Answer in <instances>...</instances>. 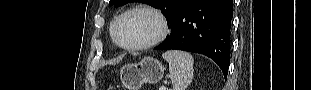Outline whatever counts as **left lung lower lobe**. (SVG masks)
I'll return each instance as SVG.
<instances>
[{"label": "left lung lower lobe", "instance_id": "left-lung-lower-lobe-1", "mask_svg": "<svg viewBox=\"0 0 311 90\" xmlns=\"http://www.w3.org/2000/svg\"><path fill=\"white\" fill-rule=\"evenodd\" d=\"M233 0H194L179 15L171 34L155 50L177 49L210 57L227 78Z\"/></svg>", "mask_w": 311, "mask_h": 90}]
</instances>
